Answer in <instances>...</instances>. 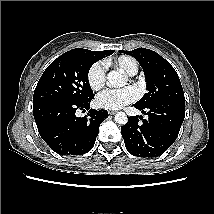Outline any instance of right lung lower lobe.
Masks as SVG:
<instances>
[{"instance_id":"right-lung-lower-lobe-1","label":"right lung lower lobe","mask_w":214,"mask_h":214,"mask_svg":"<svg viewBox=\"0 0 214 214\" xmlns=\"http://www.w3.org/2000/svg\"><path fill=\"white\" fill-rule=\"evenodd\" d=\"M87 100L53 99L33 105L34 119L42 139L61 155H81L90 151L98 136L100 124L108 117L106 110L90 109ZM89 110L77 117L76 110Z\"/></svg>"}]
</instances>
